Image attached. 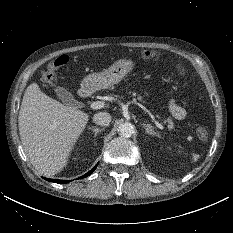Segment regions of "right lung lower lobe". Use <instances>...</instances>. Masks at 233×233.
Listing matches in <instances>:
<instances>
[{"label": "right lung lower lobe", "mask_w": 233, "mask_h": 233, "mask_svg": "<svg viewBox=\"0 0 233 233\" xmlns=\"http://www.w3.org/2000/svg\"><path fill=\"white\" fill-rule=\"evenodd\" d=\"M97 165L93 169H91L88 173H86L85 175H83L81 178L89 176L95 170V168L97 167ZM44 179H46L47 181H51V182L59 183V184H65V183L70 182V180H56V179H49V178H44Z\"/></svg>", "instance_id": "1"}]
</instances>
